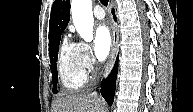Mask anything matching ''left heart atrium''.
Listing matches in <instances>:
<instances>
[{"label":"left heart atrium","instance_id":"left-heart-atrium-1","mask_svg":"<svg viewBox=\"0 0 193 112\" xmlns=\"http://www.w3.org/2000/svg\"><path fill=\"white\" fill-rule=\"evenodd\" d=\"M112 46V38L109 29L101 25L95 31L94 54L96 58L103 61L107 58Z\"/></svg>","mask_w":193,"mask_h":112}]
</instances>
